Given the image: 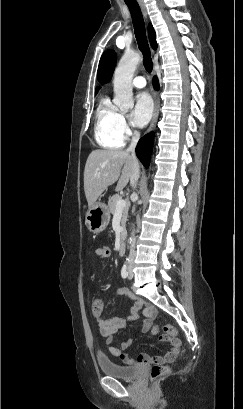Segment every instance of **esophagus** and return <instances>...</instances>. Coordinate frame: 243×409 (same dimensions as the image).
Here are the masks:
<instances>
[{
    "instance_id": "obj_1",
    "label": "esophagus",
    "mask_w": 243,
    "mask_h": 409,
    "mask_svg": "<svg viewBox=\"0 0 243 409\" xmlns=\"http://www.w3.org/2000/svg\"><path fill=\"white\" fill-rule=\"evenodd\" d=\"M139 5L141 7L144 18L147 19V10H146V6L144 2L142 0H139ZM153 97H154V113H153V117L151 120V124L149 126V132L155 128L157 119H158V115H159V98H158L156 91L153 92Z\"/></svg>"
}]
</instances>
